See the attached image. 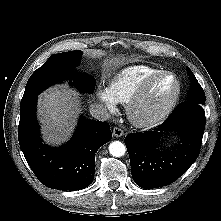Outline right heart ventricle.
Segmentation results:
<instances>
[{"label":"right heart ventricle","instance_id":"1","mask_svg":"<svg viewBox=\"0 0 221 221\" xmlns=\"http://www.w3.org/2000/svg\"><path fill=\"white\" fill-rule=\"evenodd\" d=\"M162 70L148 65H133L119 71L109 82L108 90L116 103L127 104L148 77Z\"/></svg>","mask_w":221,"mask_h":221}]
</instances>
